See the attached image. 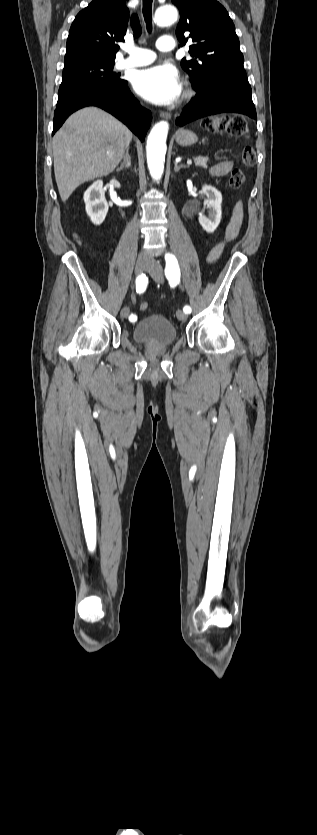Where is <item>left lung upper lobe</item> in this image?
Returning <instances> with one entry per match:
<instances>
[{
    "label": "left lung upper lobe",
    "mask_w": 317,
    "mask_h": 835,
    "mask_svg": "<svg viewBox=\"0 0 317 835\" xmlns=\"http://www.w3.org/2000/svg\"><path fill=\"white\" fill-rule=\"evenodd\" d=\"M180 11L176 35L181 45L192 41L193 59H182L181 66L192 78V85L207 82L219 70H244L235 26L226 9L215 0H171ZM189 32V37L184 33Z\"/></svg>",
    "instance_id": "1"
}]
</instances>
